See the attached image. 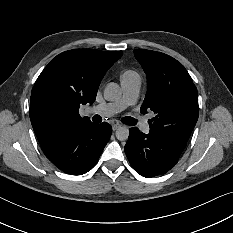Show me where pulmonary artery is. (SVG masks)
<instances>
[{
  "mask_svg": "<svg viewBox=\"0 0 233 233\" xmlns=\"http://www.w3.org/2000/svg\"><path fill=\"white\" fill-rule=\"evenodd\" d=\"M121 86L124 93V97L122 100L117 101L115 103H108L105 105L93 107L91 108L90 112L94 114H100L103 116H109L123 110L127 106L134 105L139 96L141 81L138 80L133 82H121ZM140 130L146 135L149 134L150 133L149 124L143 122L140 125Z\"/></svg>",
  "mask_w": 233,
  "mask_h": 233,
  "instance_id": "pulmonary-artery-1",
  "label": "pulmonary artery"
}]
</instances>
